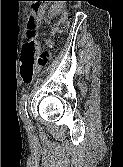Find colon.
Wrapping results in <instances>:
<instances>
[{
	"mask_svg": "<svg viewBox=\"0 0 123 167\" xmlns=\"http://www.w3.org/2000/svg\"><path fill=\"white\" fill-rule=\"evenodd\" d=\"M42 6L44 5L41 4L40 7H35L34 14L28 20L27 40L22 49L20 68L21 78L26 83L32 81L36 66L45 64L50 56L47 50L40 51L35 38V30L45 13V8ZM67 23V15L64 13L55 24L54 31L62 33L66 29Z\"/></svg>",
	"mask_w": 123,
	"mask_h": 167,
	"instance_id": "5ec220e1",
	"label": "colon"
}]
</instances>
